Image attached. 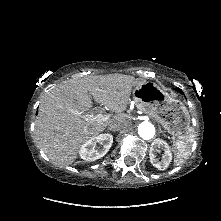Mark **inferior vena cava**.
Returning a JSON list of instances; mask_svg holds the SVG:
<instances>
[{
	"label": "inferior vena cava",
	"instance_id": "1",
	"mask_svg": "<svg viewBox=\"0 0 221 221\" xmlns=\"http://www.w3.org/2000/svg\"><path fill=\"white\" fill-rule=\"evenodd\" d=\"M127 127V124L125 123H122V122H114V123H111L109 126H108V129L109 130H112V131H118V130H121L123 128Z\"/></svg>",
	"mask_w": 221,
	"mask_h": 221
}]
</instances>
